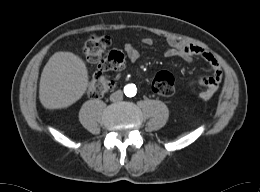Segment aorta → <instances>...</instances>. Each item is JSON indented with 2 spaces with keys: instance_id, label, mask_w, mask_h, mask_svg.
I'll return each instance as SVG.
<instances>
[{
  "instance_id": "1",
  "label": "aorta",
  "mask_w": 260,
  "mask_h": 192,
  "mask_svg": "<svg viewBox=\"0 0 260 192\" xmlns=\"http://www.w3.org/2000/svg\"><path fill=\"white\" fill-rule=\"evenodd\" d=\"M137 89L134 84H128L124 87V93L128 97H133L136 95Z\"/></svg>"
}]
</instances>
